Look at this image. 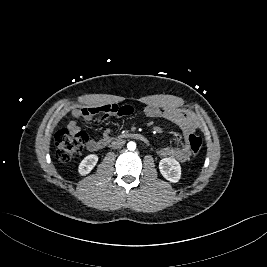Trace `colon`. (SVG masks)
I'll return each mask as SVG.
<instances>
[{"mask_svg": "<svg viewBox=\"0 0 267 267\" xmlns=\"http://www.w3.org/2000/svg\"><path fill=\"white\" fill-rule=\"evenodd\" d=\"M88 140V135L82 130L73 131L68 126L56 132L54 144L56 147V158L60 162H68L80 153ZM188 147L193 154L201 151L203 142L196 134L188 136Z\"/></svg>", "mask_w": 267, "mask_h": 267, "instance_id": "obj_1", "label": "colon"}]
</instances>
